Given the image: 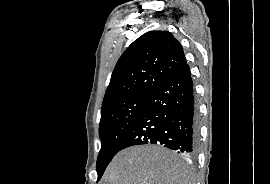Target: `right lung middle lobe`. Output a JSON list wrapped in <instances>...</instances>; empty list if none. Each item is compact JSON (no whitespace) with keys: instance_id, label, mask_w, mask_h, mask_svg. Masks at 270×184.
<instances>
[{"instance_id":"1","label":"right lung middle lobe","mask_w":270,"mask_h":184,"mask_svg":"<svg viewBox=\"0 0 270 184\" xmlns=\"http://www.w3.org/2000/svg\"><path fill=\"white\" fill-rule=\"evenodd\" d=\"M148 96L135 95L110 102L101 109L99 135L101 150L97 159V173L100 179L119 146L142 111Z\"/></svg>"}]
</instances>
